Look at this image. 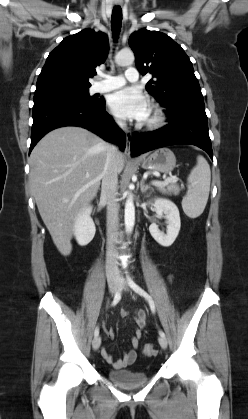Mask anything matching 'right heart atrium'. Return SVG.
Returning a JSON list of instances; mask_svg holds the SVG:
<instances>
[{
	"mask_svg": "<svg viewBox=\"0 0 248 419\" xmlns=\"http://www.w3.org/2000/svg\"><path fill=\"white\" fill-rule=\"evenodd\" d=\"M115 122L118 124V125H122L123 123H122V121L120 120V119H118V118H115Z\"/></svg>",
	"mask_w": 248,
	"mask_h": 419,
	"instance_id": "right-heart-atrium-1",
	"label": "right heart atrium"
}]
</instances>
